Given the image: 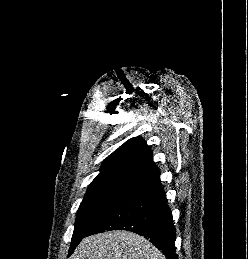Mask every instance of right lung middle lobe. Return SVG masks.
<instances>
[{"label": "right lung middle lobe", "mask_w": 248, "mask_h": 259, "mask_svg": "<svg viewBox=\"0 0 248 259\" xmlns=\"http://www.w3.org/2000/svg\"><path fill=\"white\" fill-rule=\"evenodd\" d=\"M131 186L127 183L114 182L88 187L87 193L78 209L70 249L93 229L114 203Z\"/></svg>", "instance_id": "dd1d6c3e"}]
</instances>
